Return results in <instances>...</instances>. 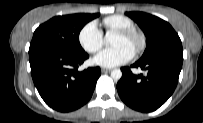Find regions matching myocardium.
Wrapping results in <instances>:
<instances>
[{
	"label": "myocardium",
	"instance_id": "1",
	"mask_svg": "<svg viewBox=\"0 0 203 123\" xmlns=\"http://www.w3.org/2000/svg\"><path fill=\"white\" fill-rule=\"evenodd\" d=\"M115 34H118L123 37H136L138 39L137 47L135 48L133 55H139L145 48L146 40L144 34L136 28H127L115 31Z\"/></svg>",
	"mask_w": 203,
	"mask_h": 123
}]
</instances>
